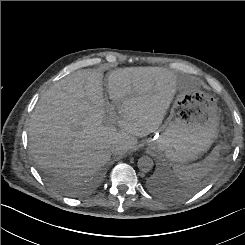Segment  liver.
Segmentation results:
<instances>
[{
	"label": "liver",
	"mask_w": 245,
	"mask_h": 245,
	"mask_svg": "<svg viewBox=\"0 0 245 245\" xmlns=\"http://www.w3.org/2000/svg\"><path fill=\"white\" fill-rule=\"evenodd\" d=\"M103 74L79 70L47 89L28 127L29 149L42 169L78 179L101 169L111 155L137 144L162 124L177 90L176 75L162 67H127L108 76L117 125L105 124Z\"/></svg>",
	"instance_id": "liver-1"
}]
</instances>
